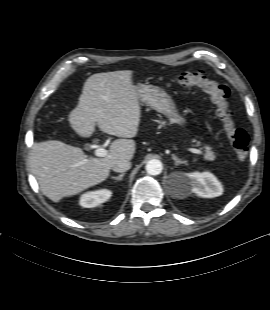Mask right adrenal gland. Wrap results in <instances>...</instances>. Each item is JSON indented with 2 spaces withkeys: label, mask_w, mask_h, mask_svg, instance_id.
<instances>
[{
  "label": "right adrenal gland",
  "mask_w": 270,
  "mask_h": 310,
  "mask_svg": "<svg viewBox=\"0 0 270 310\" xmlns=\"http://www.w3.org/2000/svg\"><path fill=\"white\" fill-rule=\"evenodd\" d=\"M124 175H125V173H122V174L118 175L117 177L112 176L111 178L114 180H117V181H121L122 178L124 177Z\"/></svg>",
  "instance_id": "2a0ac1e0"
}]
</instances>
